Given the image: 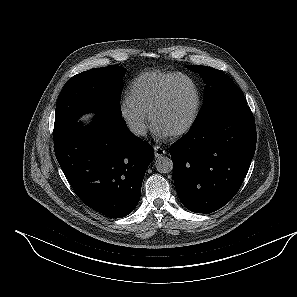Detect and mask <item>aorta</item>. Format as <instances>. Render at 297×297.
<instances>
[{
    "instance_id": "aorta-1",
    "label": "aorta",
    "mask_w": 297,
    "mask_h": 297,
    "mask_svg": "<svg viewBox=\"0 0 297 297\" xmlns=\"http://www.w3.org/2000/svg\"><path fill=\"white\" fill-rule=\"evenodd\" d=\"M155 167L160 173H169L173 170V162L169 157L160 156L155 162Z\"/></svg>"
}]
</instances>
